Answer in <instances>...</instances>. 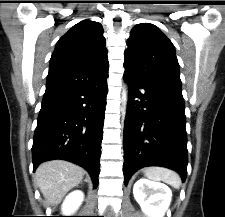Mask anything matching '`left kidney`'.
<instances>
[{
    "instance_id": "1",
    "label": "left kidney",
    "mask_w": 225,
    "mask_h": 217,
    "mask_svg": "<svg viewBox=\"0 0 225 217\" xmlns=\"http://www.w3.org/2000/svg\"><path fill=\"white\" fill-rule=\"evenodd\" d=\"M133 194L148 217H163L172 198V192L168 186L145 178L139 179L134 184Z\"/></svg>"
}]
</instances>
